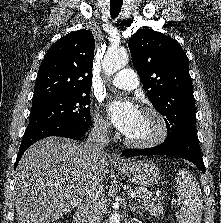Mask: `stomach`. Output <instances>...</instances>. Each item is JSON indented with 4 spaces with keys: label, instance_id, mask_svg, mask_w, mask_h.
I'll return each instance as SVG.
<instances>
[{
    "label": "stomach",
    "instance_id": "obj_1",
    "mask_svg": "<svg viewBox=\"0 0 221 223\" xmlns=\"http://www.w3.org/2000/svg\"><path fill=\"white\" fill-rule=\"evenodd\" d=\"M128 179L141 186H150L159 182L160 172L158 167L148 160H140L125 165H117Z\"/></svg>",
    "mask_w": 221,
    "mask_h": 223
}]
</instances>
